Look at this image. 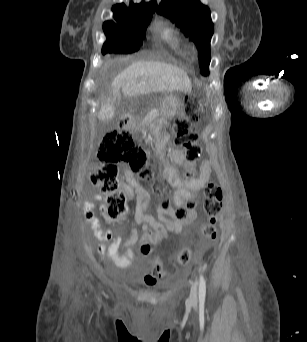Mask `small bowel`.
Masks as SVG:
<instances>
[{
    "label": "small bowel",
    "mask_w": 307,
    "mask_h": 342,
    "mask_svg": "<svg viewBox=\"0 0 307 342\" xmlns=\"http://www.w3.org/2000/svg\"><path fill=\"white\" fill-rule=\"evenodd\" d=\"M172 161L176 165L184 163V154L179 149H174L171 153ZM211 175V162L204 160L199 169L197 176L190 178H182L178 175L176 169L172 165L164 166V178L169 185L176 190L172 196L174 206L184 208L187 204L196 198V194L208 183ZM127 191L129 194L137 195L136 221L145 229H151L152 225H169V232H181L184 226L192 223L197 213L191 211L186 220H179L175 216L174 208H159L158 218H155L148 211L149 196L147 192L139 185L135 175L129 171L126 172ZM101 201L100 195H94L84 204V214L87 223L90 225L93 236L96 240L103 242L98 245L96 251L99 254L106 255L118 268H127L131 265L134 251L133 247L138 241V233L132 228L131 236L123 241L120 237L115 236L110 230H103L100 226L99 219L94 213L96 203ZM102 212L104 207L101 208ZM143 256L149 253H141Z\"/></svg>",
    "instance_id": "small-bowel-1"
}]
</instances>
